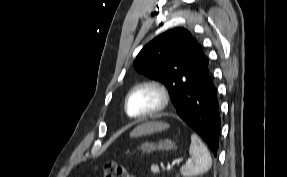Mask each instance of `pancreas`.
Masks as SVG:
<instances>
[{
  "mask_svg": "<svg viewBox=\"0 0 287 177\" xmlns=\"http://www.w3.org/2000/svg\"><path fill=\"white\" fill-rule=\"evenodd\" d=\"M151 170H152L153 173H158L159 172L158 166H152Z\"/></svg>",
  "mask_w": 287,
  "mask_h": 177,
  "instance_id": "1",
  "label": "pancreas"
}]
</instances>
